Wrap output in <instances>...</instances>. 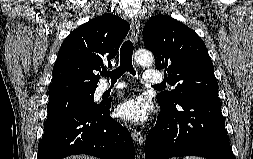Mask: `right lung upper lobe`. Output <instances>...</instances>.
<instances>
[{
	"label": "right lung upper lobe",
	"mask_w": 253,
	"mask_h": 159,
	"mask_svg": "<svg viewBox=\"0 0 253 159\" xmlns=\"http://www.w3.org/2000/svg\"><path fill=\"white\" fill-rule=\"evenodd\" d=\"M129 24L113 14H103L84 23L62 43L53 67L49 100L95 92V72L111 66L129 31Z\"/></svg>",
	"instance_id": "right-lung-upper-lobe-1"
}]
</instances>
